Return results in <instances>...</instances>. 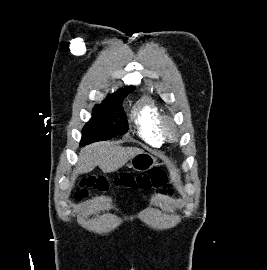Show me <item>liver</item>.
<instances>
[{
  "label": "liver",
  "instance_id": "obj_1",
  "mask_svg": "<svg viewBox=\"0 0 267 270\" xmlns=\"http://www.w3.org/2000/svg\"><path fill=\"white\" fill-rule=\"evenodd\" d=\"M141 152L139 148H124L111 141L94 143L81 149L75 172L88 173L96 166L104 173L114 172Z\"/></svg>",
  "mask_w": 267,
  "mask_h": 270
}]
</instances>
